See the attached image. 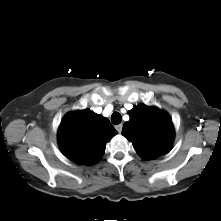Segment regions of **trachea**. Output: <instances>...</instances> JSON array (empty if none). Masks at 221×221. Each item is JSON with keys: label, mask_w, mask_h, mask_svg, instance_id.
<instances>
[{"label": "trachea", "mask_w": 221, "mask_h": 221, "mask_svg": "<svg viewBox=\"0 0 221 221\" xmlns=\"http://www.w3.org/2000/svg\"><path fill=\"white\" fill-rule=\"evenodd\" d=\"M122 120V116L119 112H113V114L111 115V121L114 125H118L120 124Z\"/></svg>", "instance_id": "trachea-1"}]
</instances>
